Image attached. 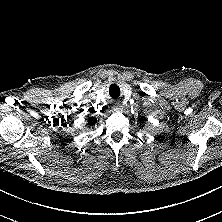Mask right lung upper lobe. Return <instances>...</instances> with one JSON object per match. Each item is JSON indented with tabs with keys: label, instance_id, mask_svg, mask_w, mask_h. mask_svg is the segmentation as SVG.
<instances>
[{
	"label": "right lung upper lobe",
	"instance_id": "cb5924a9",
	"mask_svg": "<svg viewBox=\"0 0 222 222\" xmlns=\"http://www.w3.org/2000/svg\"><path fill=\"white\" fill-rule=\"evenodd\" d=\"M97 122V119L94 117H91L88 119V125H94Z\"/></svg>",
	"mask_w": 222,
	"mask_h": 222
}]
</instances>
